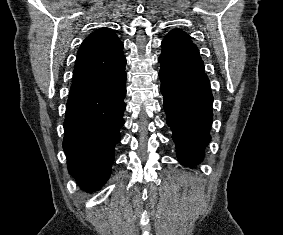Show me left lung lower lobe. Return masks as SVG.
<instances>
[{
  "label": "left lung lower lobe",
  "mask_w": 283,
  "mask_h": 235,
  "mask_svg": "<svg viewBox=\"0 0 283 235\" xmlns=\"http://www.w3.org/2000/svg\"><path fill=\"white\" fill-rule=\"evenodd\" d=\"M159 77L178 159L185 165L199 163L210 141L213 118L209 79L204 71L163 63Z\"/></svg>",
  "instance_id": "0a47b994"
}]
</instances>
